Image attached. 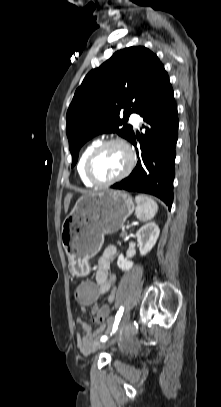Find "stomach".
I'll return each mask as SVG.
<instances>
[{
	"label": "stomach",
	"instance_id": "obj_1",
	"mask_svg": "<svg viewBox=\"0 0 221 407\" xmlns=\"http://www.w3.org/2000/svg\"><path fill=\"white\" fill-rule=\"evenodd\" d=\"M134 211L125 191L106 190L80 197L62 224L61 240L72 271L87 272L88 260L101 249L104 236L121 229Z\"/></svg>",
	"mask_w": 221,
	"mask_h": 407
}]
</instances>
